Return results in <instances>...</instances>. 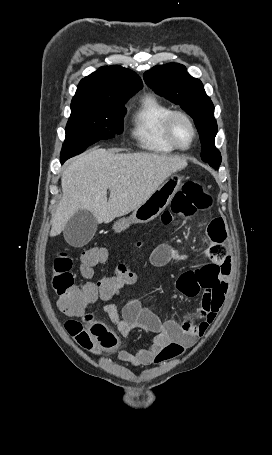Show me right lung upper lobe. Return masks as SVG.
Masks as SVG:
<instances>
[{
    "label": "right lung upper lobe",
    "mask_w": 272,
    "mask_h": 455,
    "mask_svg": "<svg viewBox=\"0 0 272 455\" xmlns=\"http://www.w3.org/2000/svg\"><path fill=\"white\" fill-rule=\"evenodd\" d=\"M142 86L140 77L132 70L118 65L103 66L80 81L71 106H118Z\"/></svg>",
    "instance_id": "cb5924a9"
}]
</instances>
